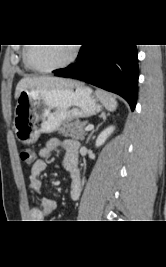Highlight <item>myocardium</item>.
<instances>
[{
	"label": "myocardium",
	"mask_w": 166,
	"mask_h": 267,
	"mask_svg": "<svg viewBox=\"0 0 166 267\" xmlns=\"http://www.w3.org/2000/svg\"><path fill=\"white\" fill-rule=\"evenodd\" d=\"M33 44H29L26 48H25V52H24V58H25V61L27 63V65L34 71H37V72H41V73H49V72H53V71H57V70H60L62 68H65L67 66H69L77 57L78 55V47L77 46H72L71 47V54L70 56L67 58L66 61H64L63 63L59 64V65H56V66H53V67H49V68H41V67H37L36 65H34L30 59V51H31V48L33 47L32 46Z\"/></svg>",
	"instance_id": "f54148a6"
}]
</instances>
